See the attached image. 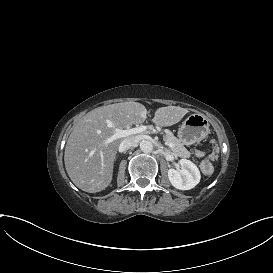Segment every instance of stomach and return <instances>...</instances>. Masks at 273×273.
Listing matches in <instances>:
<instances>
[{
	"label": "stomach",
	"instance_id": "1",
	"mask_svg": "<svg viewBox=\"0 0 273 273\" xmlns=\"http://www.w3.org/2000/svg\"><path fill=\"white\" fill-rule=\"evenodd\" d=\"M209 120L203 114L189 115L178 130V138L184 145L200 142L209 134Z\"/></svg>",
	"mask_w": 273,
	"mask_h": 273
}]
</instances>
